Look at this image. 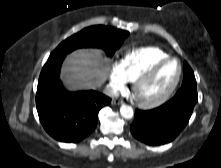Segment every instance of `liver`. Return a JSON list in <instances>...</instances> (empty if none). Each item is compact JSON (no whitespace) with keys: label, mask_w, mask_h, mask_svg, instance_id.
Wrapping results in <instances>:
<instances>
[{"label":"liver","mask_w":221,"mask_h":168,"mask_svg":"<svg viewBox=\"0 0 221 168\" xmlns=\"http://www.w3.org/2000/svg\"><path fill=\"white\" fill-rule=\"evenodd\" d=\"M104 63L99 50L79 49L65 61L62 76L71 90L96 89L107 78L108 68Z\"/></svg>","instance_id":"6515ba94"}]
</instances>
